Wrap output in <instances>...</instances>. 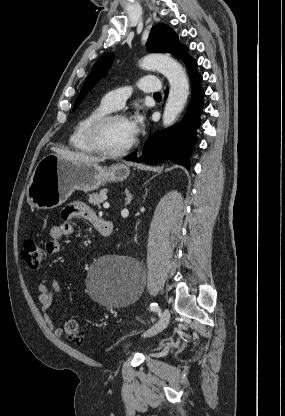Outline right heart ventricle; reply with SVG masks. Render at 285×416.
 Returning <instances> with one entry per match:
<instances>
[{"mask_svg":"<svg viewBox=\"0 0 285 416\" xmlns=\"http://www.w3.org/2000/svg\"><path fill=\"white\" fill-rule=\"evenodd\" d=\"M109 111L110 109L100 102L80 117L70 136V144L75 150L85 154L94 153L87 141L88 127L93 120Z\"/></svg>","mask_w":285,"mask_h":416,"instance_id":"1","label":"right heart ventricle"}]
</instances>
